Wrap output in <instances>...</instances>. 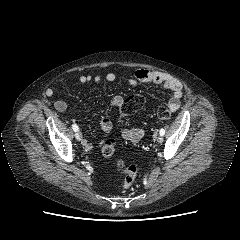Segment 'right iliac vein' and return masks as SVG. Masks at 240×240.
<instances>
[{
	"instance_id": "right-iliac-vein-1",
	"label": "right iliac vein",
	"mask_w": 240,
	"mask_h": 240,
	"mask_svg": "<svg viewBox=\"0 0 240 240\" xmlns=\"http://www.w3.org/2000/svg\"><path fill=\"white\" fill-rule=\"evenodd\" d=\"M75 138H76L78 141H81V139H82V134H81L80 131H76V133H75Z\"/></svg>"
}]
</instances>
